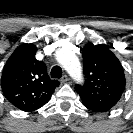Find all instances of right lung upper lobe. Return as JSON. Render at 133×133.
Masks as SVG:
<instances>
[{
    "label": "right lung upper lobe",
    "instance_id": "1",
    "mask_svg": "<svg viewBox=\"0 0 133 133\" xmlns=\"http://www.w3.org/2000/svg\"><path fill=\"white\" fill-rule=\"evenodd\" d=\"M36 46L23 44L7 60L1 77L5 97L23 111H34L51 98L59 81L51 80L46 64L36 60Z\"/></svg>",
    "mask_w": 133,
    "mask_h": 133
}]
</instances>
